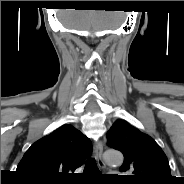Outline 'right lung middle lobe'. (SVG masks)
I'll return each mask as SVG.
<instances>
[{"mask_svg": "<svg viewBox=\"0 0 184 184\" xmlns=\"http://www.w3.org/2000/svg\"><path fill=\"white\" fill-rule=\"evenodd\" d=\"M32 183H35V184H46V183H40V182H32Z\"/></svg>", "mask_w": 184, "mask_h": 184, "instance_id": "obj_1", "label": "right lung middle lobe"}]
</instances>
